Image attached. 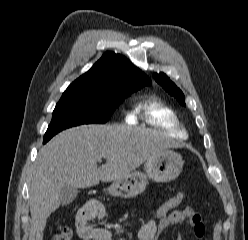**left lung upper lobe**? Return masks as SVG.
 <instances>
[{"label":"left lung upper lobe","mask_w":248,"mask_h":240,"mask_svg":"<svg viewBox=\"0 0 248 240\" xmlns=\"http://www.w3.org/2000/svg\"><path fill=\"white\" fill-rule=\"evenodd\" d=\"M154 78L170 95L174 96L180 104L185 106L184 94L164 73H155Z\"/></svg>","instance_id":"obj_1"}]
</instances>
